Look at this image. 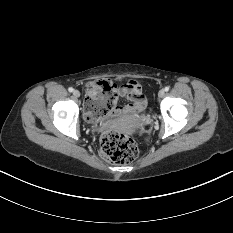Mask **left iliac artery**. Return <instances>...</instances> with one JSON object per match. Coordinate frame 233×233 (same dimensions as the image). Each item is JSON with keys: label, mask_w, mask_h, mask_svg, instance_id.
<instances>
[{"label": "left iliac artery", "mask_w": 233, "mask_h": 233, "mask_svg": "<svg viewBox=\"0 0 233 233\" xmlns=\"http://www.w3.org/2000/svg\"><path fill=\"white\" fill-rule=\"evenodd\" d=\"M164 90H165L166 92L169 91V87H168V86L165 87Z\"/></svg>", "instance_id": "44dca946"}]
</instances>
